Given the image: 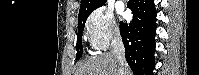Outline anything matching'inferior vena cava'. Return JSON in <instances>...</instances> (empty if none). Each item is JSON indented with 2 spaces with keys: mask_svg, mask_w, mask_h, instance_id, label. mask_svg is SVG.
Segmentation results:
<instances>
[{
  "mask_svg": "<svg viewBox=\"0 0 199 75\" xmlns=\"http://www.w3.org/2000/svg\"><path fill=\"white\" fill-rule=\"evenodd\" d=\"M111 52L119 64L117 75L125 74L126 59H125V48L123 45L122 38L119 33H115L111 43Z\"/></svg>",
  "mask_w": 199,
  "mask_h": 75,
  "instance_id": "1",
  "label": "inferior vena cava"
}]
</instances>
